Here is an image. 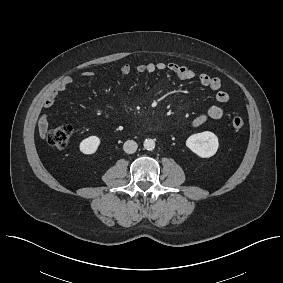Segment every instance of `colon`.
<instances>
[{
  "label": "colon",
  "instance_id": "5ec220e1",
  "mask_svg": "<svg viewBox=\"0 0 283 283\" xmlns=\"http://www.w3.org/2000/svg\"><path fill=\"white\" fill-rule=\"evenodd\" d=\"M231 125L234 129H241L244 126V119L240 116H234L231 119ZM72 133L71 125L62 124L47 132L46 141L56 149H65L69 145Z\"/></svg>",
  "mask_w": 283,
  "mask_h": 283
}]
</instances>
